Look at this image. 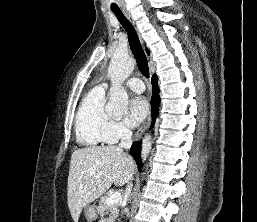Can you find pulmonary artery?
Here are the masks:
<instances>
[{
    "label": "pulmonary artery",
    "instance_id": "1",
    "mask_svg": "<svg viewBox=\"0 0 257 222\" xmlns=\"http://www.w3.org/2000/svg\"><path fill=\"white\" fill-rule=\"evenodd\" d=\"M126 85L136 93H142L145 90L143 82L138 78H130L127 80ZM106 84H103V87H106Z\"/></svg>",
    "mask_w": 257,
    "mask_h": 222
}]
</instances>
